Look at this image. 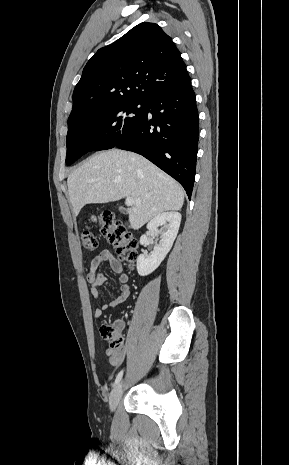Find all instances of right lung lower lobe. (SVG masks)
Returning <instances> with one entry per match:
<instances>
[{
	"mask_svg": "<svg viewBox=\"0 0 289 465\" xmlns=\"http://www.w3.org/2000/svg\"><path fill=\"white\" fill-rule=\"evenodd\" d=\"M151 114L152 117L148 114ZM199 119L191 82L146 100L142 121L114 147L141 154L176 179L191 198Z\"/></svg>",
	"mask_w": 289,
	"mask_h": 465,
	"instance_id": "right-lung-lower-lobe-1",
	"label": "right lung lower lobe"
}]
</instances>
